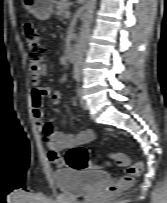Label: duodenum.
Segmentation results:
<instances>
[{"label": "duodenum", "instance_id": "obj_1", "mask_svg": "<svg viewBox=\"0 0 167 203\" xmlns=\"http://www.w3.org/2000/svg\"><path fill=\"white\" fill-rule=\"evenodd\" d=\"M67 58L71 62L75 61V58H76V46L75 45H72L69 47V49L67 51Z\"/></svg>", "mask_w": 167, "mask_h": 203}]
</instances>
